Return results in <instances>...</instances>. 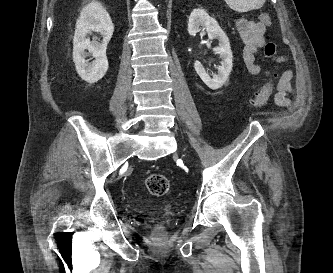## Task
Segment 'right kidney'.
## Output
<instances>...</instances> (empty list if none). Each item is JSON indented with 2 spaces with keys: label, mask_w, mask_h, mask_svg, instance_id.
<instances>
[{
  "label": "right kidney",
  "mask_w": 333,
  "mask_h": 273,
  "mask_svg": "<svg viewBox=\"0 0 333 273\" xmlns=\"http://www.w3.org/2000/svg\"><path fill=\"white\" fill-rule=\"evenodd\" d=\"M93 32L102 36L101 43L90 41L88 36ZM113 32L114 25L101 3L93 0L82 8L73 39V61L77 73L86 82L95 83L107 72L106 48ZM89 55L95 58L91 63L85 60Z\"/></svg>",
  "instance_id": "1"
}]
</instances>
